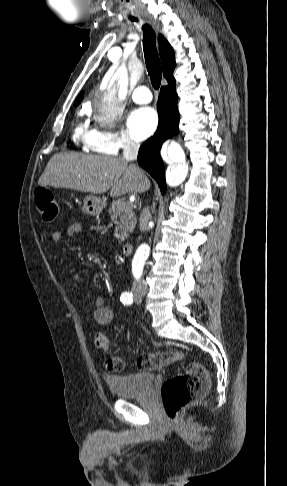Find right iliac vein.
Segmentation results:
<instances>
[{
  "label": "right iliac vein",
  "instance_id": "right-iliac-vein-1",
  "mask_svg": "<svg viewBox=\"0 0 287 486\" xmlns=\"http://www.w3.org/2000/svg\"><path fill=\"white\" fill-rule=\"evenodd\" d=\"M137 295H138L139 297H141V296L143 295V293H141V292H140V293H137Z\"/></svg>",
  "mask_w": 287,
  "mask_h": 486
}]
</instances>
